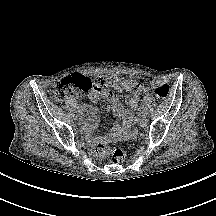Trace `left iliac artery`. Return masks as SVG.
Here are the masks:
<instances>
[{"label": "left iliac artery", "mask_w": 216, "mask_h": 216, "mask_svg": "<svg viewBox=\"0 0 216 216\" xmlns=\"http://www.w3.org/2000/svg\"><path fill=\"white\" fill-rule=\"evenodd\" d=\"M144 110H145V109H144L143 107H139V108H138V111H139V112H143Z\"/></svg>", "instance_id": "1"}]
</instances>
